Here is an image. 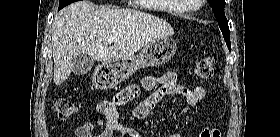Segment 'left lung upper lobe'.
<instances>
[{
    "mask_svg": "<svg viewBox=\"0 0 280 137\" xmlns=\"http://www.w3.org/2000/svg\"><path fill=\"white\" fill-rule=\"evenodd\" d=\"M208 2L212 5V10L216 16V19L218 20L219 27L222 31L224 40L226 41V45L228 49L231 50L230 31L224 12L225 0H208Z\"/></svg>",
    "mask_w": 280,
    "mask_h": 137,
    "instance_id": "5c2ea615",
    "label": "left lung upper lobe"
}]
</instances>
